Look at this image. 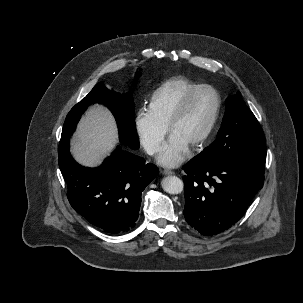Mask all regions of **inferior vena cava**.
Wrapping results in <instances>:
<instances>
[{
    "instance_id": "obj_1",
    "label": "inferior vena cava",
    "mask_w": 303,
    "mask_h": 303,
    "mask_svg": "<svg viewBox=\"0 0 303 303\" xmlns=\"http://www.w3.org/2000/svg\"><path fill=\"white\" fill-rule=\"evenodd\" d=\"M147 152H148L149 154H153V153L155 152V148H154V147H150V148L147 150Z\"/></svg>"
}]
</instances>
